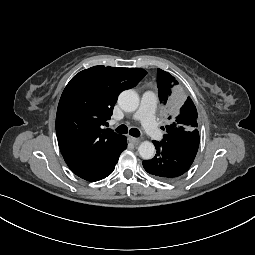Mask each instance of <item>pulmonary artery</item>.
Instances as JSON below:
<instances>
[{
  "instance_id": "e3ab8cb5",
  "label": "pulmonary artery",
  "mask_w": 255,
  "mask_h": 255,
  "mask_svg": "<svg viewBox=\"0 0 255 255\" xmlns=\"http://www.w3.org/2000/svg\"><path fill=\"white\" fill-rule=\"evenodd\" d=\"M156 96L147 91L142 95L140 107L133 115L135 120H140L146 132L153 138L159 139L161 132L155 121Z\"/></svg>"
}]
</instances>
